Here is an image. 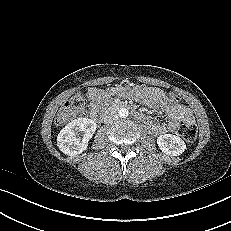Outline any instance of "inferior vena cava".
<instances>
[{"label":"inferior vena cava","mask_w":231,"mask_h":231,"mask_svg":"<svg viewBox=\"0 0 231 231\" xmlns=\"http://www.w3.org/2000/svg\"><path fill=\"white\" fill-rule=\"evenodd\" d=\"M104 123H112L118 119V114L115 110H108L102 115Z\"/></svg>","instance_id":"1"}]
</instances>
